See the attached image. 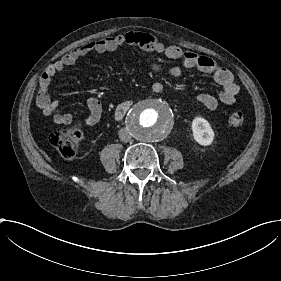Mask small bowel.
Instances as JSON below:
<instances>
[{"label": "small bowel", "mask_w": 281, "mask_h": 281, "mask_svg": "<svg viewBox=\"0 0 281 281\" xmlns=\"http://www.w3.org/2000/svg\"><path fill=\"white\" fill-rule=\"evenodd\" d=\"M122 47H138L146 51H154L162 54L167 59L181 61L182 65L189 69H195L204 73L213 74L221 85V93L218 98L216 95L200 92L196 95L198 104L207 110H215L219 106V99L226 105L235 102L239 92V85L224 67L216 64L211 58L200 56L193 51H187L178 45L166 44L162 39L156 38L147 32L131 30L123 35L106 36L99 41L87 42L83 46L74 49L49 67L43 74L39 82L37 105L42 114L46 117L52 116L55 125H70L74 122L71 114H54L60 105V99L54 101L50 99L51 80L54 75L61 71L65 66L74 64L78 59L91 53H108ZM164 72L171 77H178L181 70L177 66H166ZM153 91L161 93L165 86L160 81L152 84ZM88 115L84 119L85 126H93L99 122L102 114V104L96 97L87 99Z\"/></svg>", "instance_id": "obj_1"}]
</instances>
